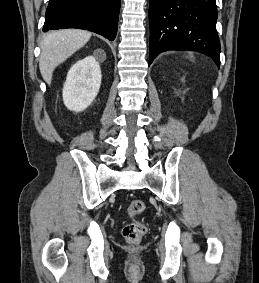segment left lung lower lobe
<instances>
[{
  "label": "left lung lower lobe",
  "mask_w": 259,
  "mask_h": 283,
  "mask_svg": "<svg viewBox=\"0 0 259 283\" xmlns=\"http://www.w3.org/2000/svg\"><path fill=\"white\" fill-rule=\"evenodd\" d=\"M150 59L166 50H196L220 66L215 0H150Z\"/></svg>",
  "instance_id": "0a47b994"
}]
</instances>
